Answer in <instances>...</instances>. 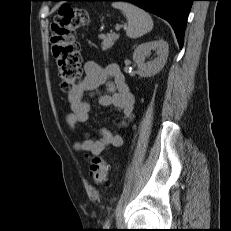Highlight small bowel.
I'll return each mask as SVG.
<instances>
[{"label":"small bowel","instance_id":"c3829d8e","mask_svg":"<svg viewBox=\"0 0 231 231\" xmlns=\"http://www.w3.org/2000/svg\"><path fill=\"white\" fill-rule=\"evenodd\" d=\"M85 76L67 93L70 113L66 116V123L72 131L78 124L85 123L90 118L91 105L84 99L85 93H96L101 86L106 91L99 94L98 103L102 107H114L121 113L117 126L126 127L134 116V95L130 91L125 77L117 64L100 66L95 61L84 64ZM123 138L120 133H113L107 128L99 130V138L93 139L88 133L83 134V139L74 143L78 152L100 155L109 147H119Z\"/></svg>","mask_w":231,"mask_h":231}]
</instances>
